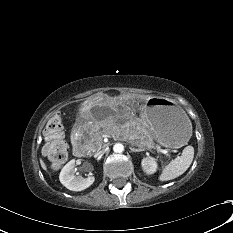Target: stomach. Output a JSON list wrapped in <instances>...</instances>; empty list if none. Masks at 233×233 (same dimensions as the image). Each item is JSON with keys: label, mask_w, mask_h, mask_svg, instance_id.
Wrapping results in <instances>:
<instances>
[{"label": "stomach", "mask_w": 233, "mask_h": 233, "mask_svg": "<svg viewBox=\"0 0 233 233\" xmlns=\"http://www.w3.org/2000/svg\"><path fill=\"white\" fill-rule=\"evenodd\" d=\"M140 106L134 95L119 93L115 97L103 94L91 97L82 105V116L93 122L114 121L130 117ZM144 117L154 138L167 148H179L186 144L192 132V124L185 112L174 102L162 97H151L144 107Z\"/></svg>", "instance_id": "stomach-1"}]
</instances>
